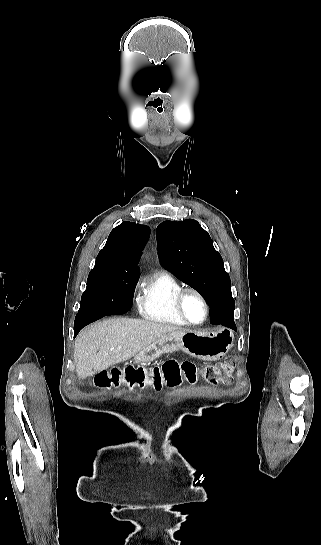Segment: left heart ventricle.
<instances>
[{
    "mask_svg": "<svg viewBox=\"0 0 321 545\" xmlns=\"http://www.w3.org/2000/svg\"><path fill=\"white\" fill-rule=\"evenodd\" d=\"M183 311L193 322H199L204 316V306L197 295L187 293L183 299Z\"/></svg>",
    "mask_w": 321,
    "mask_h": 545,
    "instance_id": "left-heart-ventricle-1",
    "label": "left heart ventricle"
}]
</instances>
